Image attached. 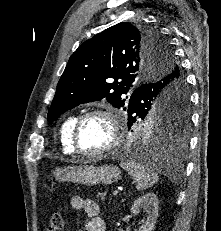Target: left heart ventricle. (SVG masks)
<instances>
[{
  "label": "left heart ventricle",
  "mask_w": 221,
  "mask_h": 231,
  "mask_svg": "<svg viewBox=\"0 0 221 231\" xmlns=\"http://www.w3.org/2000/svg\"><path fill=\"white\" fill-rule=\"evenodd\" d=\"M111 137L108 120L104 116H92L83 122L78 134V143L82 150L94 152L105 148Z\"/></svg>",
  "instance_id": "1"
}]
</instances>
